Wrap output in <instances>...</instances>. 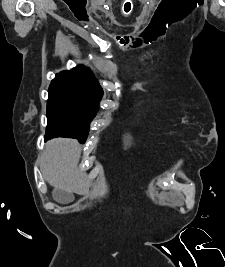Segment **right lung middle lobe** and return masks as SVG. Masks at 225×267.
<instances>
[{"label": "right lung middle lobe", "mask_w": 225, "mask_h": 267, "mask_svg": "<svg viewBox=\"0 0 225 267\" xmlns=\"http://www.w3.org/2000/svg\"><path fill=\"white\" fill-rule=\"evenodd\" d=\"M48 93L46 136L76 138L84 143L98 104L82 92L64 86L50 85Z\"/></svg>", "instance_id": "right-lung-middle-lobe-1"}]
</instances>
